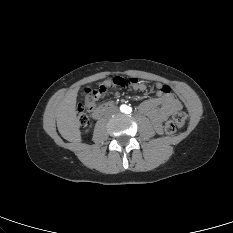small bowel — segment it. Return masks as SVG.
<instances>
[{
    "mask_svg": "<svg viewBox=\"0 0 233 233\" xmlns=\"http://www.w3.org/2000/svg\"><path fill=\"white\" fill-rule=\"evenodd\" d=\"M135 90L144 91L147 86L145 83L136 81L132 85ZM156 97L147 99L139 104L140 113L147 115L157 133H162L163 122L174 112L182 108L181 102L174 96L170 87L162 83L155 84ZM95 105L93 106V108ZM92 108V109H93Z\"/></svg>",
    "mask_w": 233,
    "mask_h": 233,
    "instance_id": "1",
    "label": "small bowel"
}]
</instances>
